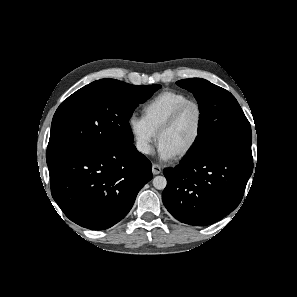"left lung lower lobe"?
<instances>
[{
	"instance_id": "obj_1",
	"label": "left lung lower lobe",
	"mask_w": 297,
	"mask_h": 297,
	"mask_svg": "<svg viewBox=\"0 0 297 297\" xmlns=\"http://www.w3.org/2000/svg\"><path fill=\"white\" fill-rule=\"evenodd\" d=\"M252 170L253 161L227 153L183 159L175 168L164 169L163 203L183 223L212 224L239 205Z\"/></svg>"
}]
</instances>
